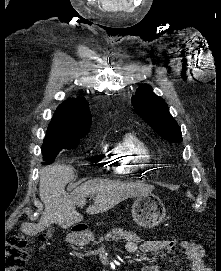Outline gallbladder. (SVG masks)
Instances as JSON below:
<instances>
[{
  "label": "gallbladder",
  "mask_w": 221,
  "mask_h": 271,
  "mask_svg": "<svg viewBox=\"0 0 221 271\" xmlns=\"http://www.w3.org/2000/svg\"><path fill=\"white\" fill-rule=\"evenodd\" d=\"M45 233H46V237H52V233H53V227H46L45 229Z\"/></svg>",
  "instance_id": "obj_1"
}]
</instances>
